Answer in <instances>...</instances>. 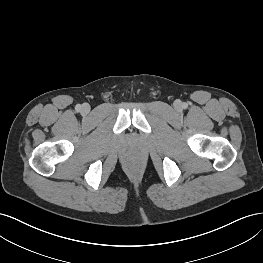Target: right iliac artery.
Instances as JSON below:
<instances>
[{
    "mask_svg": "<svg viewBox=\"0 0 263 263\" xmlns=\"http://www.w3.org/2000/svg\"><path fill=\"white\" fill-rule=\"evenodd\" d=\"M80 109H81V105H77V106H76V110H77V111H80Z\"/></svg>",
    "mask_w": 263,
    "mask_h": 263,
    "instance_id": "obj_1",
    "label": "right iliac artery"
}]
</instances>
